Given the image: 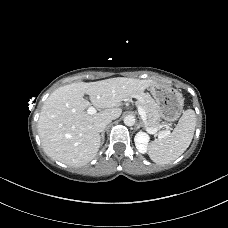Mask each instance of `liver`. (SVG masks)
<instances>
[{
  "label": "liver",
  "mask_w": 228,
  "mask_h": 228,
  "mask_svg": "<svg viewBox=\"0 0 228 228\" xmlns=\"http://www.w3.org/2000/svg\"><path fill=\"white\" fill-rule=\"evenodd\" d=\"M153 80L110 78L96 82H76L59 87L44 102L38 121V133L45 153L66 165L81 167L97 154L101 137L94 124L117 119L119 104L130 97L141 96ZM87 94L91 103L84 99ZM94 105L103 109L95 114L85 110Z\"/></svg>",
  "instance_id": "liver-1"
}]
</instances>
